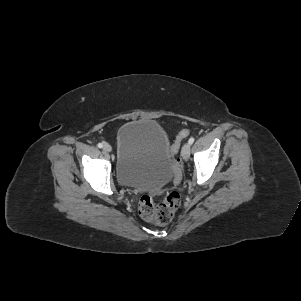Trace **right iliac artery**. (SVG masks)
Returning <instances> with one entry per match:
<instances>
[{"label": "right iliac artery", "instance_id": "1", "mask_svg": "<svg viewBox=\"0 0 301 301\" xmlns=\"http://www.w3.org/2000/svg\"><path fill=\"white\" fill-rule=\"evenodd\" d=\"M97 146H98L99 148H102V147H103V143H98Z\"/></svg>", "mask_w": 301, "mask_h": 301}]
</instances>
